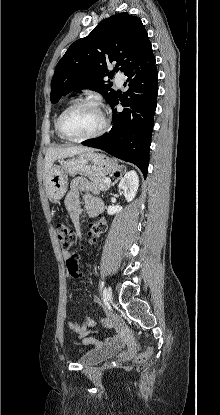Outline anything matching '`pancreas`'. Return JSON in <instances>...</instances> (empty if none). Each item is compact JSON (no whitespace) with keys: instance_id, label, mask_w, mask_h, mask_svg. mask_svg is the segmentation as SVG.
Returning <instances> with one entry per match:
<instances>
[{"instance_id":"obj_1","label":"pancreas","mask_w":220,"mask_h":415,"mask_svg":"<svg viewBox=\"0 0 220 415\" xmlns=\"http://www.w3.org/2000/svg\"><path fill=\"white\" fill-rule=\"evenodd\" d=\"M106 177H90L92 181V189L97 191H107L110 187V183L105 182Z\"/></svg>"}]
</instances>
